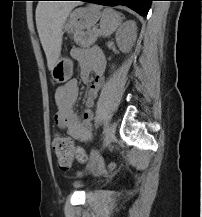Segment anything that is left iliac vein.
I'll return each mask as SVG.
<instances>
[{"instance_id":"obj_1","label":"left iliac vein","mask_w":202,"mask_h":217,"mask_svg":"<svg viewBox=\"0 0 202 217\" xmlns=\"http://www.w3.org/2000/svg\"><path fill=\"white\" fill-rule=\"evenodd\" d=\"M115 130L116 126L114 123H110L105 127V135H104V141H103V147H107L114 139L115 136ZM100 158L99 153L92 154L90 157V161L87 165V168H91L96 165Z\"/></svg>"}]
</instances>
